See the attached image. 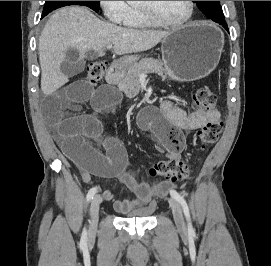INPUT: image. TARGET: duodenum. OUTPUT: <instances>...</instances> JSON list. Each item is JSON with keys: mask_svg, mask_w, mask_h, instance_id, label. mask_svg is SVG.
Masks as SVG:
<instances>
[{"mask_svg": "<svg viewBox=\"0 0 271 266\" xmlns=\"http://www.w3.org/2000/svg\"><path fill=\"white\" fill-rule=\"evenodd\" d=\"M124 60H114L107 72L106 81L109 85L115 86L118 84L119 80L121 79L123 72H124Z\"/></svg>", "mask_w": 271, "mask_h": 266, "instance_id": "1", "label": "duodenum"}]
</instances>
